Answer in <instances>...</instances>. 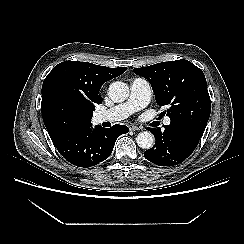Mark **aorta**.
Masks as SVG:
<instances>
[{"mask_svg": "<svg viewBox=\"0 0 244 244\" xmlns=\"http://www.w3.org/2000/svg\"><path fill=\"white\" fill-rule=\"evenodd\" d=\"M108 94L114 102H123L129 96V87L124 82L116 81L110 84ZM136 142L140 148L150 149L155 143V138L151 132L144 131L137 135Z\"/></svg>", "mask_w": 244, "mask_h": 244, "instance_id": "aorta-1", "label": "aorta"}]
</instances>
